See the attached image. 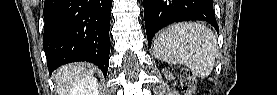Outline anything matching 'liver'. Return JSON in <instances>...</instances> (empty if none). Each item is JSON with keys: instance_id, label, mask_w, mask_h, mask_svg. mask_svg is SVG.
Listing matches in <instances>:
<instances>
[{"instance_id": "obj_1", "label": "liver", "mask_w": 277, "mask_h": 95, "mask_svg": "<svg viewBox=\"0 0 277 95\" xmlns=\"http://www.w3.org/2000/svg\"><path fill=\"white\" fill-rule=\"evenodd\" d=\"M94 71L90 65L67 64L56 70L54 79L56 90L59 95H75L78 84L88 78L93 77Z\"/></svg>"}]
</instances>
